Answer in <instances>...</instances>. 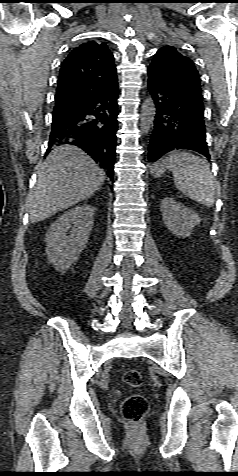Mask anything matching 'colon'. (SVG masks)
I'll use <instances>...</instances> for the list:
<instances>
[{"instance_id": "1", "label": "colon", "mask_w": 238, "mask_h": 476, "mask_svg": "<svg viewBox=\"0 0 238 476\" xmlns=\"http://www.w3.org/2000/svg\"><path fill=\"white\" fill-rule=\"evenodd\" d=\"M123 381L131 388L140 387L143 383L142 373L137 369H128L123 374ZM148 410L146 398L140 394L127 397L122 404V415L130 423L137 424Z\"/></svg>"}]
</instances>
